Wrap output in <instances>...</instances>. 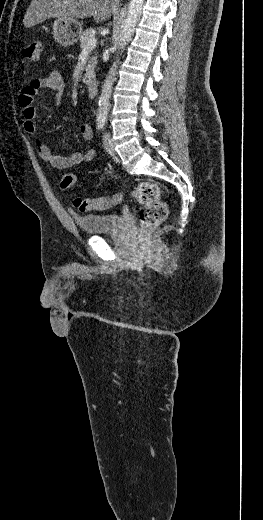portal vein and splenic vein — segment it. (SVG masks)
I'll list each match as a JSON object with an SVG mask.
<instances>
[{
    "label": "portal vein and splenic vein",
    "mask_w": 263,
    "mask_h": 520,
    "mask_svg": "<svg viewBox=\"0 0 263 520\" xmlns=\"http://www.w3.org/2000/svg\"><path fill=\"white\" fill-rule=\"evenodd\" d=\"M96 42L97 40L95 37L90 38L87 42V46L84 49L94 48L96 46Z\"/></svg>",
    "instance_id": "obj_1"
}]
</instances>
